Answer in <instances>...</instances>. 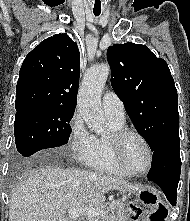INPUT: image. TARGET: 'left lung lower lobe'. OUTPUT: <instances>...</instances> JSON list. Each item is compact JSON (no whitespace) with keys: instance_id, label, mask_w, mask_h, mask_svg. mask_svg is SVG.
Returning a JSON list of instances; mask_svg holds the SVG:
<instances>
[{"instance_id":"left-lung-lower-lobe-1","label":"left lung lower lobe","mask_w":190,"mask_h":221,"mask_svg":"<svg viewBox=\"0 0 190 221\" xmlns=\"http://www.w3.org/2000/svg\"><path fill=\"white\" fill-rule=\"evenodd\" d=\"M180 139L173 138L159 144L153 151L148 180L158 184L169 202L176 205L177 187L181 172Z\"/></svg>"}]
</instances>
